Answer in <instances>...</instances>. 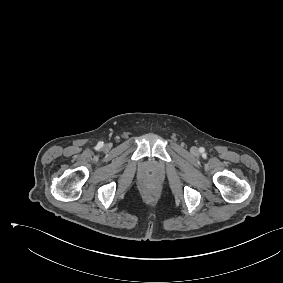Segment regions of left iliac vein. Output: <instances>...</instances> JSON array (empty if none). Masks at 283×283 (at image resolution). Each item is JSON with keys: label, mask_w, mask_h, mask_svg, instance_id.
Segmentation results:
<instances>
[{"label": "left iliac vein", "mask_w": 283, "mask_h": 283, "mask_svg": "<svg viewBox=\"0 0 283 283\" xmlns=\"http://www.w3.org/2000/svg\"><path fill=\"white\" fill-rule=\"evenodd\" d=\"M192 151H193V152H196V151H197V149H196V148H192Z\"/></svg>", "instance_id": "1"}]
</instances>
